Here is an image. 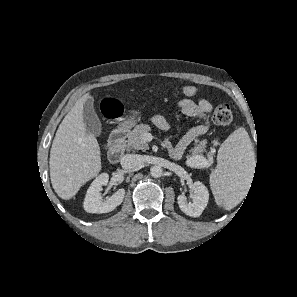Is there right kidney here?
<instances>
[{"label":"right kidney","mask_w":297,"mask_h":297,"mask_svg":"<svg viewBox=\"0 0 297 297\" xmlns=\"http://www.w3.org/2000/svg\"><path fill=\"white\" fill-rule=\"evenodd\" d=\"M108 181L109 175L107 173H102L91 183L87 190L83 205L86 212L98 214L108 213L113 211L123 202L125 196V190L123 188L116 191L106 200L102 199L100 190L103 185H107Z\"/></svg>","instance_id":"ca27d5eb"}]
</instances>
